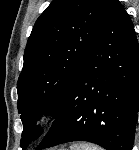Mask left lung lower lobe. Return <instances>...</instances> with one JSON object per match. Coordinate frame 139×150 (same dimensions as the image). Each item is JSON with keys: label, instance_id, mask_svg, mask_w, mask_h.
Here are the masks:
<instances>
[{"label": "left lung lower lobe", "instance_id": "left-lung-lower-lobe-1", "mask_svg": "<svg viewBox=\"0 0 139 150\" xmlns=\"http://www.w3.org/2000/svg\"><path fill=\"white\" fill-rule=\"evenodd\" d=\"M139 112V45L118 0L70 85L37 150L89 141L106 150H132Z\"/></svg>", "mask_w": 139, "mask_h": 150}]
</instances>
